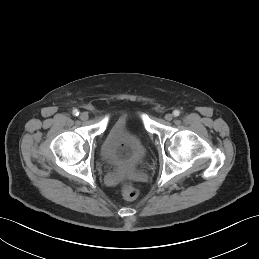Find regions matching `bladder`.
Returning a JSON list of instances; mask_svg holds the SVG:
<instances>
[{"mask_svg":"<svg viewBox=\"0 0 259 259\" xmlns=\"http://www.w3.org/2000/svg\"><path fill=\"white\" fill-rule=\"evenodd\" d=\"M100 152L106 165L131 172L142 164L146 150L139 136L128 131L126 118L119 116L109 126Z\"/></svg>","mask_w":259,"mask_h":259,"instance_id":"obj_1","label":"bladder"}]
</instances>
